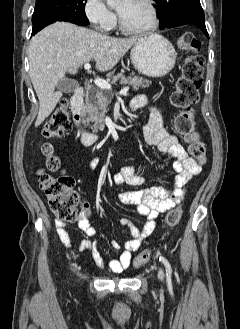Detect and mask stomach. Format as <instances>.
I'll use <instances>...</instances> for the list:
<instances>
[{"mask_svg":"<svg viewBox=\"0 0 240 329\" xmlns=\"http://www.w3.org/2000/svg\"><path fill=\"white\" fill-rule=\"evenodd\" d=\"M130 55L139 73L149 77H162L174 67L177 53L162 35L147 34L135 42Z\"/></svg>","mask_w":240,"mask_h":329,"instance_id":"obj_1","label":"stomach"}]
</instances>
